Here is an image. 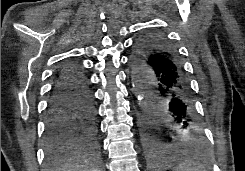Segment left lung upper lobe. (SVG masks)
<instances>
[{
    "instance_id": "left-lung-upper-lobe-1",
    "label": "left lung upper lobe",
    "mask_w": 245,
    "mask_h": 171,
    "mask_svg": "<svg viewBox=\"0 0 245 171\" xmlns=\"http://www.w3.org/2000/svg\"><path fill=\"white\" fill-rule=\"evenodd\" d=\"M162 45H171L160 33H146L140 36L133 51L134 61H150L151 54Z\"/></svg>"
}]
</instances>
